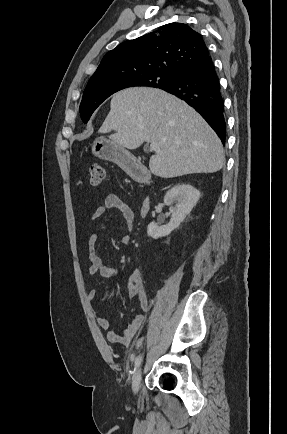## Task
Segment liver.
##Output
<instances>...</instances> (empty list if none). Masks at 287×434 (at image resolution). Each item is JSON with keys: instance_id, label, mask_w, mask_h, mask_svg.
<instances>
[{"instance_id": "6515ba94", "label": "liver", "mask_w": 287, "mask_h": 434, "mask_svg": "<svg viewBox=\"0 0 287 434\" xmlns=\"http://www.w3.org/2000/svg\"><path fill=\"white\" fill-rule=\"evenodd\" d=\"M100 133L115 144L136 149L155 142L150 171L162 178L214 173L225 164L223 146L206 121L187 103L153 88H129L114 94Z\"/></svg>"}]
</instances>
